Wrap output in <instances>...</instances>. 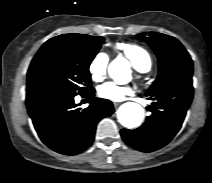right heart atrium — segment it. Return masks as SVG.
<instances>
[{
	"label": "right heart atrium",
	"instance_id": "1",
	"mask_svg": "<svg viewBox=\"0 0 212 183\" xmlns=\"http://www.w3.org/2000/svg\"><path fill=\"white\" fill-rule=\"evenodd\" d=\"M108 56L103 52L97 53L88 65L90 77L95 82L102 80L106 74Z\"/></svg>",
	"mask_w": 212,
	"mask_h": 183
}]
</instances>
